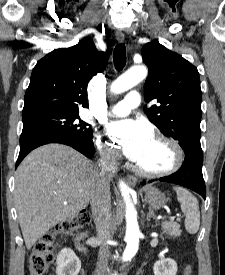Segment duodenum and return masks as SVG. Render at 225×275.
Masks as SVG:
<instances>
[{
    "instance_id": "410a0bca",
    "label": "duodenum",
    "mask_w": 225,
    "mask_h": 275,
    "mask_svg": "<svg viewBox=\"0 0 225 275\" xmlns=\"http://www.w3.org/2000/svg\"><path fill=\"white\" fill-rule=\"evenodd\" d=\"M87 238V233L82 232L77 236L76 243H77V249L80 253L87 255L88 254V248L85 244V240Z\"/></svg>"
}]
</instances>
